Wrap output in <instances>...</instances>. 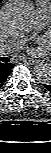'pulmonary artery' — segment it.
<instances>
[{
    "instance_id": "pulmonary-artery-1",
    "label": "pulmonary artery",
    "mask_w": 51,
    "mask_h": 153,
    "mask_svg": "<svg viewBox=\"0 0 51 153\" xmlns=\"http://www.w3.org/2000/svg\"><path fill=\"white\" fill-rule=\"evenodd\" d=\"M51 7L48 3L38 6L35 12V25L42 27L50 21ZM21 43L18 41H9L0 46L1 53L11 52L20 47Z\"/></svg>"
}]
</instances>
